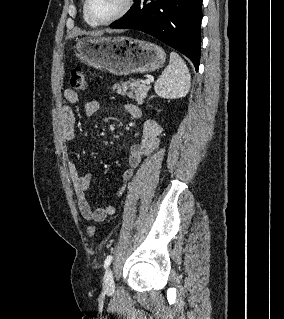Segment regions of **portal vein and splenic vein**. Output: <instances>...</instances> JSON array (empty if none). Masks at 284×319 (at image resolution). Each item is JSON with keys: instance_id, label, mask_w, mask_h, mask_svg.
Listing matches in <instances>:
<instances>
[{"instance_id": "1", "label": "portal vein and splenic vein", "mask_w": 284, "mask_h": 319, "mask_svg": "<svg viewBox=\"0 0 284 319\" xmlns=\"http://www.w3.org/2000/svg\"><path fill=\"white\" fill-rule=\"evenodd\" d=\"M144 83H146L147 85H149V84L151 83V81H150V79H146V80L144 81Z\"/></svg>"}]
</instances>
